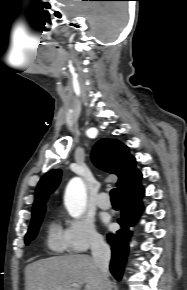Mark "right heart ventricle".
Segmentation results:
<instances>
[{
  "instance_id": "right-heart-ventricle-1",
  "label": "right heart ventricle",
  "mask_w": 187,
  "mask_h": 290,
  "mask_svg": "<svg viewBox=\"0 0 187 290\" xmlns=\"http://www.w3.org/2000/svg\"><path fill=\"white\" fill-rule=\"evenodd\" d=\"M47 245L49 249L55 253H62L68 249L64 230L56 222H52L49 225L47 232Z\"/></svg>"
}]
</instances>
